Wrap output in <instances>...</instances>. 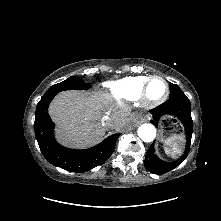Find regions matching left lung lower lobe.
<instances>
[{"label": "left lung lower lobe", "mask_w": 221, "mask_h": 221, "mask_svg": "<svg viewBox=\"0 0 221 221\" xmlns=\"http://www.w3.org/2000/svg\"><path fill=\"white\" fill-rule=\"evenodd\" d=\"M150 113L153 115L151 122L156 127H158V122L161 119L171 116L174 122H179L183 125L186 134L187 145L185 152L175 162L170 163L160 160L154 153V144L149 147L144 161L145 168L153 174H164L180 165L188 155L193 133L190 101L186 96L171 97L165 103L152 109Z\"/></svg>", "instance_id": "left-lung-lower-lobe-1"}]
</instances>
